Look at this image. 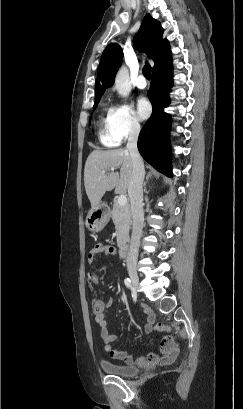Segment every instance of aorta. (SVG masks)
Instances as JSON below:
<instances>
[{
  "label": "aorta",
  "instance_id": "aorta-1",
  "mask_svg": "<svg viewBox=\"0 0 243 409\" xmlns=\"http://www.w3.org/2000/svg\"><path fill=\"white\" fill-rule=\"evenodd\" d=\"M115 88L122 97H127L131 91L130 76L125 66L121 67L116 75Z\"/></svg>",
  "mask_w": 243,
  "mask_h": 409
}]
</instances>
